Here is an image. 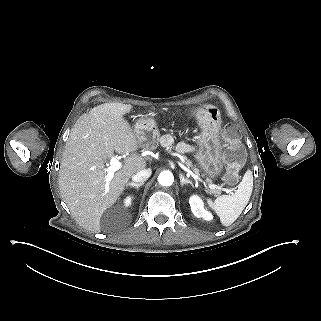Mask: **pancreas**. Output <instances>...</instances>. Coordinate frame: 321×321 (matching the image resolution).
I'll use <instances>...</instances> for the list:
<instances>
[{
    "label": "pancreas",
    "mask_w": 321,
    "mask_h": 321,
    "mask_svg": "<svg viewBox=\"0 0 321 321\" xmlns=\"http://www.w3.org/2000/svg\"><path fill=\"white\" fill-rule=\"evenodd\" d=\"M186 166L192 167L191 162H190V161H187V162H186ZM194 172L196 173V175L199 174V173L197 172V170H194ZM216 194L218 195V194H220V192L216 191Z\"/></svg>",
    "instance_id": "1"
}]
</instances>
